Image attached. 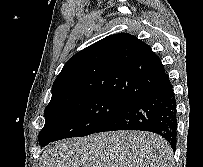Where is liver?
Returning a JSON list of instances; mask_svg holds the SVG:
<instances>
[{
  "label": "liver",
  "mask_w": 203,
  "mask_h": 167,
  "mask_svg": "<svg viewBox=\"0 0 203 167\" xmlns=\"http://www.w3.org/2000/svg\"><path fill=\"white\" fill-rule=\"evenodd\" d=\"M172 149L143 131L104 132L55 142L39 167H171Z\"/></svg>",
  "instance_id": "liver-1"
}]
</instances>
